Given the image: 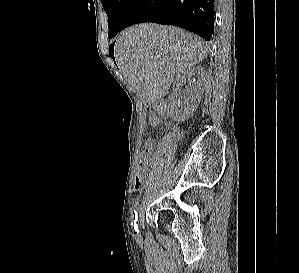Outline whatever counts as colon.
I'll return each mask as SVG.
<instances>
[{"instance_id":"obj_1","label":"colon","mask_w":299,"mask_h":273,"mask_svg":"<svg viewBox=\"0 0 299 273\" xmlns=\"http://www.w3.org/2000/svg\"><path fill=\"white\" fill-rule=\"evenodd\" d=\"M152 148H153V143H152V141L147 140V141L145 142V144H144V149H143V151H144L145 153H149V152H151ZM146 175H147L146 166H145V164H144L143 162H141L140 165H139V168H138V171H137V173H136L135 178L137 179V181H139L142 177H144V176H146Z\"/></svg>"}]
</instances>
